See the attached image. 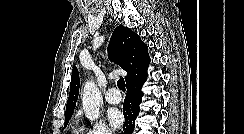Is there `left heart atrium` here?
I'll use <instances>...</instances> for the list:
<instances>
[{
  "label": "left heart atrium",
  "mask_w": 244,
  "mask_h": 134,
  "mask_svg": "<svg viewBox=\"0 0 244 134\" xmlns=\"http://www.w3.org/2000/svg\"><path fill=\"white\" fill-rule=\"evenodd\" d=\"M108 118H109L111 125L115 128H118L123 123V115L118 110H111L108 113Z\"/></svg>",
  "instance_id": "left-heart-atrium-1"
}]
</instances>
